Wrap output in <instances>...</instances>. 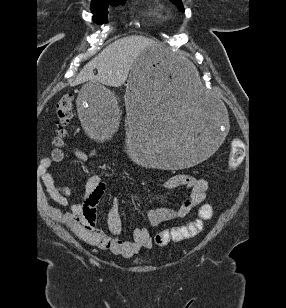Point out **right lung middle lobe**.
<instances>
[{
  "label": "right lung middle lobe",
  "mask_w": 286,
  "mask_h": 308,
  "mask_svg": "<svg viewBox=\"0 0 286 308\" xmlns=\"http://www.w3.org/2000/svg\"><path fill=\"white\" fill-rule=\"evenodd\" d=\"M126 0H116L111 1L104 4H91V10L93 13V21L96 23H106L107 22V14H108V6H116L119 4H124Z\"/></svg>",
  "instance_id": "right-lung-middle-lobe-1"
}]
</instances>
